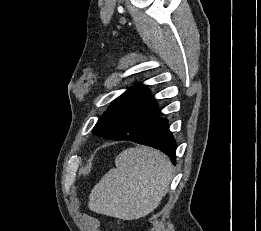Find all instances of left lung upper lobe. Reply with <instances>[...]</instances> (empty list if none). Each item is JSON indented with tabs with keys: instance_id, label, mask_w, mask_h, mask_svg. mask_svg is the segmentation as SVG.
<instances>
[{
	"instance_id": "left-lung-upper-lobe-1",
	"label": "left lung upper lobe",
	"mask_w": 261,
	"mask_h": 231,
	"mask_svg": "<svg viewBox=\"0 0 261 231\" xmlns=\"http://www.w3.org/2000/svg\"><path fill=\"white\" fill-rule=\"evenodd\" d=\"M157 103L143 85L127 90L100 117L93 132L104 138H140L159 117Z\"/></svg>"
}]
</instances>
